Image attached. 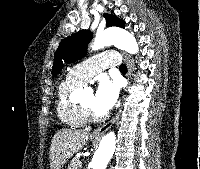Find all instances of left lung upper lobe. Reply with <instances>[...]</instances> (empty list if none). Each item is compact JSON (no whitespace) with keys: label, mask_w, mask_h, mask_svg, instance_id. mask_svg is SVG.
<instances>
[{"label":"left lung upper lobe","mask_w":200,"mask_h":169,"mask_svg":"<svg viewBox=\"0 0 200 169\" xmlns=\"http://www.w3.org/2000/svg\"><path fill=\"white\" fill-rule=\"evenodd\" d=\"M106 26L125 27L123 20L111 14H104ZM92 39V33L88 30H82L67 38H64L57 51L54 54V64L52 74L56 76L63 67V61L75 62L84 57L87 52V44Z\"/></svg>","instance_id":"obj_1"}]
</instances>
